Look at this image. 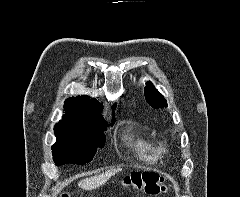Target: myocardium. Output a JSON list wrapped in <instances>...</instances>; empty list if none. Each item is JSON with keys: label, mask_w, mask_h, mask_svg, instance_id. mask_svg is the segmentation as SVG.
Segmentation results:
<instances>
[{"label": "myocardium", "mask_w": 240, "mask_h": 197, "mask_svg": "<svg viewBox=\"0 0 240 197\" xmlns=\"http://www.w3.org/2000/svg\"><path fill=\"white\" fill-rule=\"evenodd\" d=\"M157 151H158V153H160V154L165 153V152H166V146H165V144H164V143H160V144L158 145V147H157Z\"/></svg>", "instance_id": "f54148a6"}]
</instances>
